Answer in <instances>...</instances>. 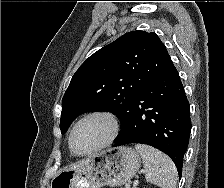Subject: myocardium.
<instances>
[{
    "instance_id": "myocardium-1",
    "label": "myocardium",
    "mask_w": 224,
    "mask_h": 188,
    "mask_svg": "<svg viewBox=\"0 0 224 188\" xmlns=\"http://www.w3.org/2000/svg\"><path fill=\"white\" fill-rule=\"evenodd\" d=\"M91 117H102V118H105L110 126H111V130H110V134L108 135V137L100 144L98 145L97 147H95L94 149L90 150V151H87V152H78L75 150L74 148V144H73V139H74V135H75V132L77 130V128L79 127V125L91 118ZM120 132V122L117 118V116L111 112H108V111H104V110H94V111H91L87 114H85L84 116H82L76 123L75 125L73 126L71 132H70V136H69V147H70V150L71 152L74 154V155H77V156H88V155H91V154H94L102 149H104L105 147L109 146L111 143H113V141L117 138L118 134Z\"/></svg>"
}]
</instances>
